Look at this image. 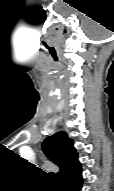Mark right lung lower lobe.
Returning <instances> with one entry per match:
<instances>
[{
  "label": "right lung lower lobe",
  "mask_w": 114,
  "mask_h": 191,
  "mask_svg": "<svg viewBox=\"0 0 114 191\" xmlns=\"http://www.w3.org/2000/svg\"><path fill=\"white\" fill-rule=\"evenodd\" d=\"M58 182L60 191H81L82 187L81 168L65 176Z\"/></svg>",
  "instance_id": "1"
}]
</instances>
